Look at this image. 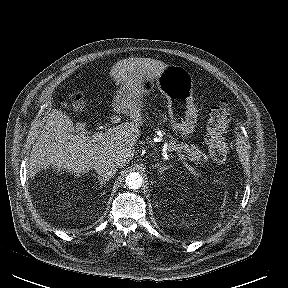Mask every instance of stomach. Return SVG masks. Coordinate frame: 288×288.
<instances>
[{
  "instance_id": "0dacf381",
  "label": "stomach",
  "mask_w": 288,
  "mask_h": 288,
  "mask_svg": "<svg viewBox=\"0 0 288 288\" xmlns=\"http://www.w3.org/2000/svg\"><path fill=\"white\" fill-rule=\"evenodd\" d=\"M156 85L168 100V114L173 128L181 136L190 137L197 126V108L193 103V83L191 76L178 66L168 67L157 79ZM154 83L146 86V94Z\"/></svg>"
}]
</instances>
